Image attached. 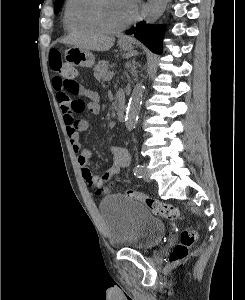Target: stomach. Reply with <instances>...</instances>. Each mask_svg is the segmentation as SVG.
<instances>
[{"label":"stomach","mask_w":245,"mask_h":300,"mask_svg":"<svg viewBox=\"0 0 245 300\" xmlns=\"http://www.w3.org/2000/svg\"><path fill=\"white\" fill-rule=\"evenodd\" d=\"M119 46L125 50L129 51L133 49L132 41H119ZM65 60L77 67H92L95 62L94 55L90 52V50L81 49L78 47H70L65 51L64 55Z\"/></svg>","instance_id":"0dacf381"}]
</instances>
